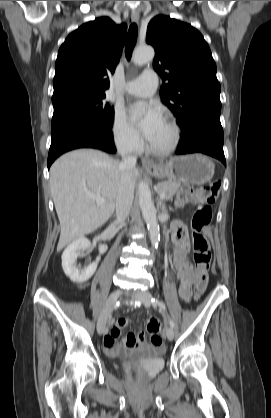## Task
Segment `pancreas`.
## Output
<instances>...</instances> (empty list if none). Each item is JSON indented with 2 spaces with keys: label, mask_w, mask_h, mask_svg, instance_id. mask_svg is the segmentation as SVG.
Returning <instances> with one entry per match:
<instances>
[{
  "label": "pancreas",
  "mask_w": 271,
  "mask_h": 418,
  "mask_svg": "<svg viewBox=\"0 0 271 418\" xmlns=\"http://www.w3.org/2000/svg\"><path fill=\"white\" fill-rule=\"evenodd\" d=\"M179 187V182L165 181L157 184L156 191L158 194L165 193V200H170L172 199L173 195L178 191Z\"/></svg>",
  "instance_id": "1"
}]
</instances>
